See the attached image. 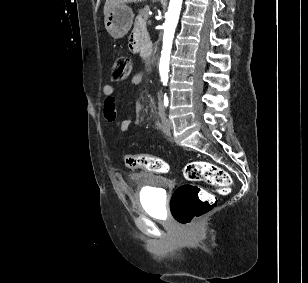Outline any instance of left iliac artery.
Masks as SVG:
<instances>
[{"instance_id": "obj_1", "label": "left iliac artery", "mask_w": 308, "mask_h": 283, "mask_svg": "<svg viewBox=\"0 0 308 283\" xmlns=\"http://www.w3.org/2000/svg\"><path fill=\"white\" fill-rule=\"evenodd\" d=\"M164 103H165V105L167 106L168 104V98H167V96L166 95H164Z\"/></svg>"}]
</instances>
